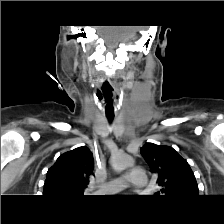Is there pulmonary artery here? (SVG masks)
<instances>
[{
    "label": "pulmonary artery",
    "mask_w": 224,
    "mask_h": 224,
    "mask_svg": "<svg viewBox=\"0 0 224 224\" xmlns=\"http://www.w3.org/2000/svg\"><path fill=\"white\" fill-rule=\"evenodd\" d=\"M148 182V177L143 170L139 168H133L128 174L114 177L104 185L99 186L98 191L103 193H116L128 186L135 188H147Z\"/></svg>",
    "instance_id": "e3ab8cb5"
}]
</instances>
